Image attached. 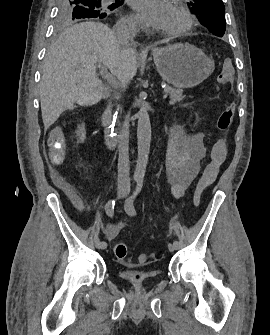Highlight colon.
Returning <instances> with one entry per match:
<instances>
[{"instance_id":"1","label":"colon","mask_w":270,"mask_h":335,"mask_svg":"<svg viewBox=\"0 0 270 335\" xmlns=\"http://www.w3.org/2000/svg\"><path fill=\"white\" fill-rule=\"evenodd\" d=\"M222 62L224 64L223 70L219 75V82L226 86V88H231L232 78H233V57H223ZM234 115V110L231 106H225L216 122V127L220 131H226L232 123V118ZM213 147L215 148L212 154L211 161L205 167L201 177L198 181V189L195 196V203L198 204L200 201L201 194L209 187L215 180L219 166L224 163L225 158V141H214ZM114 253L119 260H128V247L124 242L115 244ZM146 259L145 255L140 256V260L144 261Z\"/></svg>"}]
</instances>
